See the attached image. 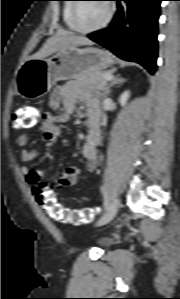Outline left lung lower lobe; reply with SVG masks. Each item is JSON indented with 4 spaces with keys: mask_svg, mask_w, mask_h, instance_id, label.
<instances>
[{
    "mask_svg": "<svg viewBox=\"0 0 180 299\" xmlns=\"http://www.w3.org/2000/svg\"><path fill=\"white\" fill-rule=\"evenodd\" d=\"M118 11L109 27L88 35L126 61L141 64L151 74L156 70L158 18L163 0H115Z\"/></svg>",
    "mask_w": 180,
    "mask_h": 299,
    "instance_id": "left-lung-lower-lobe-1",
    "label": "left lung lower lobe"
}]
</instances>
